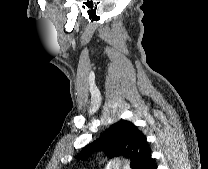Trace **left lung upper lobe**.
Listing matches in <instances>:
<instances>
[{
	"label": "left lung upper lobe",
	"instance_id": "1",
	"mask_svg": "<svg viewBox=\"0 0 208 169\" xmlns=\"http://www.w3.org/2000/svg\"><path fill=\"white\" fill-rule=\"evenodd\" d=\"M148 149L146 137L137 126L121 120L108 128L99 139L85 146L77 158L85 160L93 152L102 151L109 157L129 159L131 168L137 169Z\"/></svg>",
	"mask_w": 208,
	"mask_h": 169
}]
</instances>
